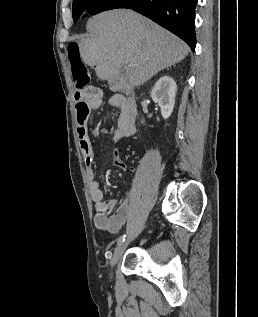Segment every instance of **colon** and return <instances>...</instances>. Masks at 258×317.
<instances>
[{
  "label": "colon",
  "instance_id": "colon-1",
  "mask_svg": "<svg viewBox=\"0 0 258 317\" xmlns=\"http://www.w3.org/2000/svg\"><path fill=\"white\" fill-rule=\"evenodd\" d=\"M67 57L76 89L83 90L87 88L91 83V72L83 62L80 45L77 42H71L68 44Z\"/></svg>",
  "mask_w": 258,
  "mask_h": 317
}]
</instances>
